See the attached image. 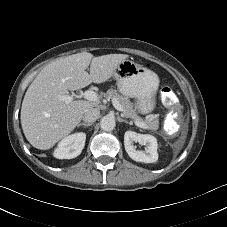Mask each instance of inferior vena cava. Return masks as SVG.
<instances>
[{
  "label": "inferior vena cava",
  "mask_w": 227,
  "mask_h": 227,
  "mask_svg": "<svg viewBox=\"0 0 227 227\" xmlns=\"http://www.w3.org/2000/svg\"><path fill=\"white\" fill-rule=\"evenodd\" d=\"M100 115V111L96 108L87 109L83 115V121L88 124L94 123Z\"/></svg>",
  "instance_id": "602c4592"
}]
</instances>
